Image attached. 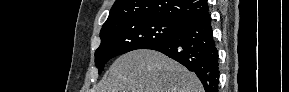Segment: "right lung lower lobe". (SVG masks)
Instances as JSON below:
<instances>
[{
	"label": "right lung lower lobe",
	"mask_w": 289,
	"mask_h": 92,
	"mask_svg": "<svg viewBox=\"0 0 289 92\" xmlns=\"http://www.w3.org/2000/svg\"><path fill=\"white\" fill-rule=\"evenodd\" d=\"M146 49L159 51L196 73L205 92H217L218 51L208 11L183 23L172 38Z\"/></svg>",
	"instance_id": "obj_1"
}]
</instances>
